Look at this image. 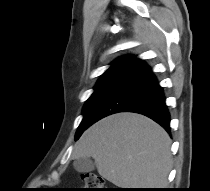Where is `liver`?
Returning <instances> with one entry per match:
<instances>
[{
	"mask_svg": "<svg viewBox=\"0 0 210 191\" xmlns=\"http://www.w3.org/2000/svg\"><path fill=\"white\" fill-rule=\"evenodd\" d=\"M170 146L167 132L151 119L118 113L88 128L72 157H92L98 173L120 188H164L172 167Z\"/></svg>",
	"mask_w": 210,
	"mask_h": 191,
	"instance_id": "obj_1",
	"label": "liver"
}]
</instances>
